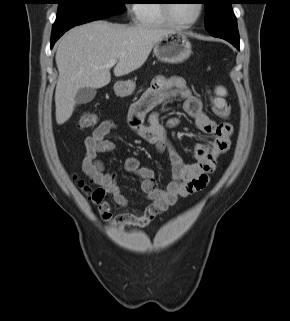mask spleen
<instances>
[{
  "instance_id": "3e777b00",
  "label": "spleen",
  "mask_w": 290,
  "mask_h": 321,
  "mask_svg": "<svg viewBox=\"0 0 290 321\" xmlns=\"http://www.w3.org/2000/svg\"><path fill=\"white\" fill-rule=\"evenodd\" d=\"M215 93L218 96L215 100H214V104L216 107L218 108H223L225 105V101L222 97L227 95V90L226 88L222 87V86H218L215 89Z\"/></svg>"
}]
</instances>
